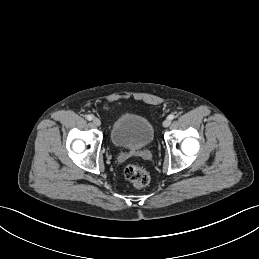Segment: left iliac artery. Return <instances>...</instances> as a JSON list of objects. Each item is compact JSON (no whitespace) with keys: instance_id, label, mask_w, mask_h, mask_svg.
Returning a JSON list of instances; mask_svg holds the SVG:
<instances>
[{"instance_id":"obj_1","label":"left iliac artery","mask_w":259,"mask_h":259,"mask_svg":"<svg viewBox=\"0 0 259 259\" xmlns=\"http://www.w3.org/2000/svg\"><path fill=\"white\" fill-rule=\"evenodd\" d=\"M175 118V115H173V114H170L169 116H168V119H170V120H173Z\"/></svg>"}]
</instances>
